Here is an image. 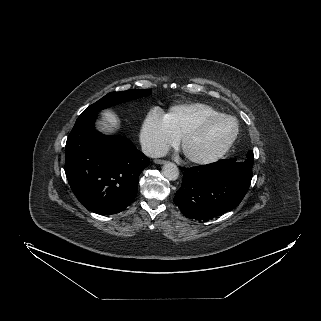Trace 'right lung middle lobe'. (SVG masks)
<instances>
[{
    "mask_svg": "<svg viewBox=\"0 0 321 321\" xmlns=\"http://www.w3.org/2000/svg\"><path fill=\"white\" fill-rule=\"evenodd\" d=\"M150 93V90L141 89H130L122 92H110L94 104L87 107L79 117L86 115L96 116L100 110L128 100L147 96Z\"/></svg>",
    "mask_w": 321,
    "mask_h": 321,
    "instance_id": "1",
    "label": "right lung middle lobe"
}]
</instances>
